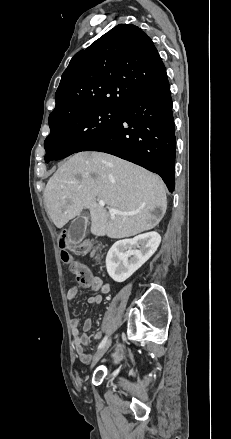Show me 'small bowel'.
<instances>
[{
	"mask_svg": "<svg viewBox=\"0 0 231 439\" xmlns=\"http://www.w3.org/2000/svg\"><path fill=\"white\" fill-rule=\"evenodd\" d=\"M96 291L97 293L90 296L87 299L88 304L99 305L102 302L103 295L109 293L110 284L104 282L99 276L91 274V281L86 286ZM78 287H71L66 294V300L68 302L73 301L78 294ZM81 321L78 318H74L70 321V329L73 337V343L75 352L79 359L83 363H88L91 359V355L86 352L85 348L89 345L88 332L92 328V319L89 317L84 320L82 324V329H80ZM102 336L101 332H96L94 334V339L99 340ZM127 356L123 347H119L114 353L113 358L116 362L121 361Z\"/></svg>",
	"mask_w": 231,
	"mask_h": 439,
	"instance_id": "c3829d8e",
	"label": "small bowel"
}]
</instances>
